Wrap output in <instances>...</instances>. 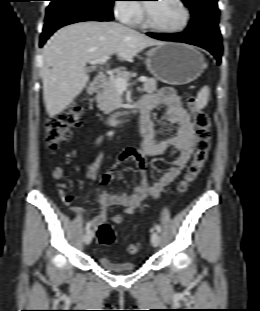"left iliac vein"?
Listing matches in <instances>:
<instances>
[{
	"label": "left iliac vein",
	"mask_w": 260,
	"mask_h": 311,
	"mask_svg": "<svg viewBox=\"0 0 260 311\" xmlns=\"http://www.w3.org/2000/svg\"><path fill=\"white\" fill-rule=\"evenodd\" d=\"M151 243L154 247H157L160 243V236L157 232H153L151 235Z\"/></svg>",
	"instance_id": "4c4485c4"
}]
</instances>
